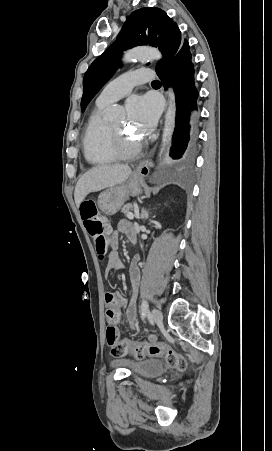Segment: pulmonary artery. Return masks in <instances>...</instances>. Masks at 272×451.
Wrapping results in <instances>:
<instances>
[{
  "instance_id": "1",
  "label": "pulmonary artery",
  "mask_w": 272,
  "mask_h": 451,
  "mask_svg": "<svg viewBox=\"0 0 272 451\" xmlns=\"http://www.w3.org/2000/svg\"><path fill=\"white\" fill-rule=\"evenodd\" d=\"M154 78V71L146 65L139 66L138 70L129 68L127 73L109 83L97 98V103L115 102L131 93L133 86L150 81Z\"/></svg>"
}]
</instances>
